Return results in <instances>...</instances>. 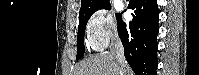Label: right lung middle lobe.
Returning a JSON list of instances; mask_svg holds the SVG:
<instances>
[{"label":"right lung middle lobe","mask_w":199,"mask_h":75,"mask_svg":"<svg viewBox=\"0 0 199 75\" xmlns=\"http://www.w3.org/2000/svg\"><path fill=\"white\" fill-rule=\"evenodd\" d=\"M110 8H111L110 3H106L85 15L79 16V26H78V35H77V56H76L77 60H79L80 58H82L84 56V52H85L84 34H85V28H86L88 19L94 12H96L99 9L110 10ZM117 15L118 14H116V16Z\"/></svg>","instance_id":"obj_1"}]
</instances>
